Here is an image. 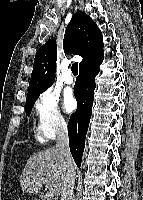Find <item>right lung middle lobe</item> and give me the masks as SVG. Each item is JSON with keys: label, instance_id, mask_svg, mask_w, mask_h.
Returning a JSON list of instances; mask_svg holds the SVG:
<instances>
[{"label": "right lung middle lobe", "instance_id": "dd1d6c3e", "mask_svg": "<svg viewBox=\"0 0 143 200\" xmlns=\"http://www.w3.org/2000/svg\"><path fill=\"white\" fill-rule=\"evenodd\" d=\"M43 92V91H42ZM40 92V93H42ZM39 93V94H40ZM39 94H37L35 97H32L30 99L26 100V106H25V111L27 112V115L29 116L32 110V107L35 103V101L37 100V98L39 97Z\"/></svg>", "mask_w": 143, "mask_h": 200}]
</instances>
